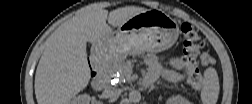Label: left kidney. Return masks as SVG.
Segmentation results:
<instances>
[{"label": "left kidney", "instance_id": "obj_1", "mask_svg": "<svg viewBox=\"0 0 252 104\" xmlns=\"http://www.w3.org/2000/svg\"><path fill=\"white\" fill-rule=\"evenodd\" d=\"M169 103H172V104H187L188 101L183 98L182 96H173L172 98L169 99Z\"/></svg>", "mask_w": 252, "mask_h": 104}]
</instances>
